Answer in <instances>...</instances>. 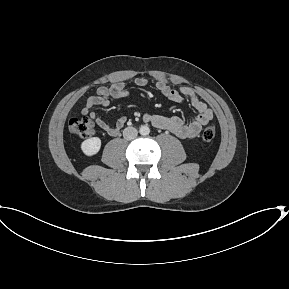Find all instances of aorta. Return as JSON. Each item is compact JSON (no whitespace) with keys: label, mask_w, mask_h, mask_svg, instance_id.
<instances>
[{"label":"aorta","mask_w":289,"mask_h":289,"mask_svg":"<svg viewBox=\"0 0 289 289\" xmlns=\"http://www.w3.org/2000/svg\"><path fill=\"white\" fill-rule=\"evenodd\" d=\"M139 133L143 136H146L150 133V129L147 125H142L139 129Z\"/></svg>","instance_id":"762f6f07"}]
</instances>
